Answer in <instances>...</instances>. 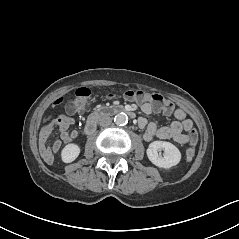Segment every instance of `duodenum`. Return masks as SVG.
<instances>
[{
    "instance_id": "obj_1",
    "label": "duodenum",
    "mask_w": 239,
    "mask_h": 239,
    "mask_svg": "<svg viewBox=\"0 0 239 239\" xmlns=\"http://www.w3.org/2000/svg\"><path fill=\"white\" fill-rule=\"evenodd\" d=\"M119 113H125L129 117L134 118L135 114L125 108L122 105H112V106H104V107H99L95 109L88 117L87 122L84 126L83 133L86 135L91 134L97 125V122L99 119H101L104 116H109V115H114V114H119Z\"/></svg>"
}]
</instances>
